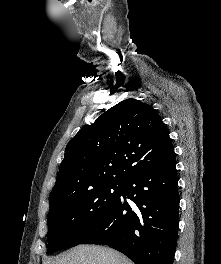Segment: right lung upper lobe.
I'll list each match as a JSON object with an SVG mask.
<instances>
[{
  "label": "right lung upper lobe",
  "instance_id": "1",
  "mask_svg": "<svg viewBox=\"0 0 221 264\" xmlns=\"http://www.w3.org/2000/svg\"><path fill=\"white\" fill-rule=\"evenodd\" d=\"M172 155L169 132L156 111L139 100H124L67 144L49 196L50 210L75 193L123 183Z\"/></svg>",
  "mask_w": 221,
  "mask_h": 264
}]
</instances>
